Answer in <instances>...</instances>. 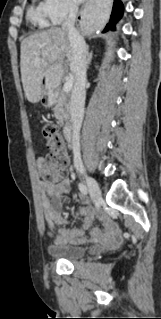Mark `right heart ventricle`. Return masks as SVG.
Wrapping results in <instances>:
<instances>
[{
    "instance_id": "obj_1",
    "label": "right heart ventricle",
    "mask_w": 161,
    "mask_h": 319,
    "mask_svg": "<svg viewBox=\"0 0 161 319\" xmlns=\"http://www.w3.org/2000/svg\"><path fill=\"white\" fill-rule=\"evenodd\" d=\"M28 19L39 27H47L52 23L44 3L32 6L28 11Z\"/></svg>"
}]
</instances>
